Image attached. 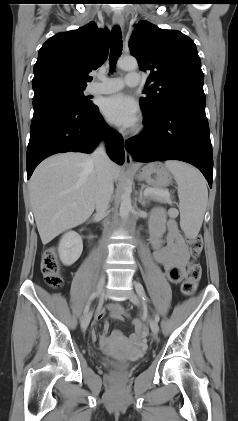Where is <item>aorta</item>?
<instances>
[{"instance_id": "obj_1", "label": "aorta", "mask_w": 238, "mask_h": 421, "mask_svg": "<svg viewBox=\"0 0 238 421\" xmlns=\"http://www.w3.org/2000/svg\"><path fill=\"white\" fill-rule=\"evenodd\" d=\"M117 67L129 71L135 70L138 67L137 60L133 57H124L120 58L117 61ZM132 209V201H131V187L129 185L124 187V192L121 196V204H120V217L125 220L128 218L129 213Z\"/></svg>"}]
</instances>
